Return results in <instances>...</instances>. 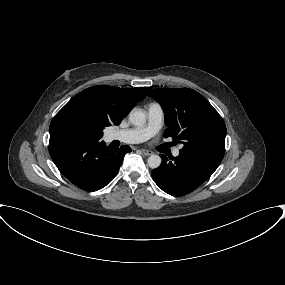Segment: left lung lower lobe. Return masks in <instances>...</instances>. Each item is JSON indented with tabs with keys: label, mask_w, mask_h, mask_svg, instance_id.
Here are the masks:
<instances>
[{
	"label": "left lung lower lobe",
	"mask_w": 285,
	"mask_h": 285,
	"mask_svg": "<svg viewBox=\"0 0 285 285\" xmlns=\"http://www.w3.org/2000/svg\"><path fill=\"white\" fill-rule=\"evenodd\" d=\"M163 162L152 172L155 183L172 196L186 195L205 182L222 160L197 153L180 151L176 158L160 154Z\"/></svg>",
	"instance_id": "obj_1"
}]
</instances>
